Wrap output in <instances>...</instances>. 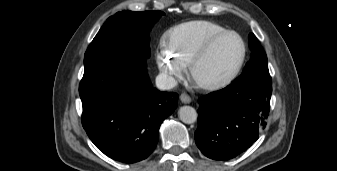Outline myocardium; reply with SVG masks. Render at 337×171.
I'll list each match as a JSON object with an SVG mask.
<instances>
[{
    "label": "myocardium",
    "mask_w": 337,
    "mask_h": 171,
    "mask_svg": "<svg viewBox=\"0 0 337 171\" xmlns=\"http://www.w3.org/2000/svg\"><path fill=\"white\" fill-rule=\"evenodd\" d=\"M227 36H236L240 43H241V56L236 63V65L233 67V69L221 80L214 81V82H205L200 81L196 76V70L200 62L204 59V57L208 54V52L211 50V48L221 39L227 37ZM247 55V46L240 34H238L235 31L232 30H226L222 33H219L211 38H209L206 42H204L200 48L197 50V52L194 54V56L191 59V62L189 64V73L191 76V79L193 82L199 86L202 89L209 90V91H215L220 90L228 85H230L238 76L239 72L241 71L245 59Z\"/></svg>",
    "instance_id": "f54148a6"
}]
</instances>
